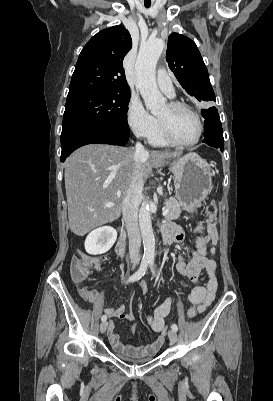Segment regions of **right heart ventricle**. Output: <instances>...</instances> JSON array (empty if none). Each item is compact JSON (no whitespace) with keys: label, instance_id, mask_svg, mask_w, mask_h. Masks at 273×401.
Segmentation results:
<instances>
[{"label":"right heart ventricle","instance_id":"1","mask_svg":"<svg viewBox=\"0 0 273 401\" xmlns=\"http://www.w3.org/2000/svg\"><path fill=\"white\" fill-rule=\"evenodd\" d=\"M148 139H149L150 144L157 146V147L174 146V144L170 143L169 141H167L164 138L158 120H157V125L155 128V131Z\"/></svg>","mask_w":273,"mask_h":401}]
</instances>
